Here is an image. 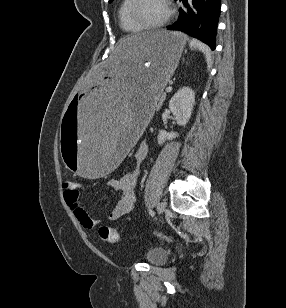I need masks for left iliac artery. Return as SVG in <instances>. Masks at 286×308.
<instances>
[{
  "label": "left iliac artery",
  "mask_w": 286,
  "mask_h": 308,
  "mask_svg": "<svg viewBox=\"0 0 286 308\" xmlns=\"http://www.w3.org/2000/svg\"><path fill=\"white\" fill-rule=\"evenodd\" d=\"M149 214L151 215V216H154V212L150 209L149 210Z\"/></svg>",
  "instance_id": "left-iliac-artery-1"
}]
</instances>
